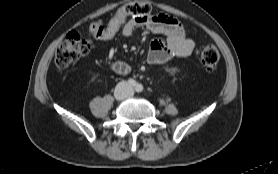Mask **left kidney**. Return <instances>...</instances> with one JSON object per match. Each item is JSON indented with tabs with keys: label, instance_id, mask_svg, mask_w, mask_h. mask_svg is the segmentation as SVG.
Returning a JSON list of instances; mask_svg holds the SVG:
<instances>
[{
	"label": "left kidney",
	"instance_id": "left-kidney-1",
	"mask_svg": "<svg viewBox=\"0 0 278 174\" xmlns=\"http://www.w3.org/2000/svg\"><path fill=\"white\" fill-rule=\"evenodd\" d=\"M170 70L174 73L177 71V68H171Z\"/></svg>",
	"mask_w": 278,
	"mask_h": 174
}]
</instances>
